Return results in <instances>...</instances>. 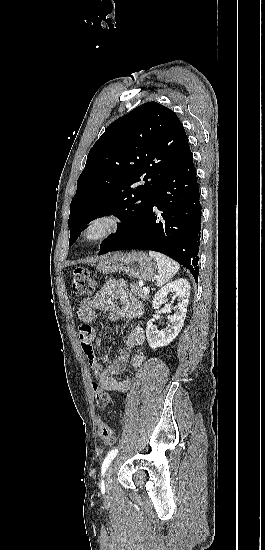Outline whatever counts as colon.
Here are the masks:
<instances>
[{"label":"colon","mask_w":265,"mask_h":550,"mask_svg":"<svg viewBox=\"0 0 265 550\" xmlns=\"http://www.w3.org/2000/svg\"><path fill=\"white\" fill-rule=\"evenodd\" d=\"M69 282L71 292L75 297H82L94 293L97 287L96 280L91 274L81 268L73 269L69 274ZM94 397L97 405L105 409L109 402L110 397L107 393L101 391L97 386H94ZM98 436L105 443H111L113 441V432L110 426L102 419L97 421Z\"/></svg>","instance_id":"1"}]
</instances>
